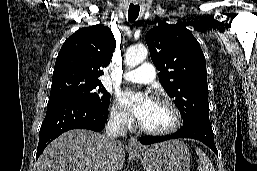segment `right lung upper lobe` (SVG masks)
<instances>
[{
	"label": "right lung upper lobe",
	"mask_w": 257,
	"mask_h": 171,
	"mask_svg": "<svg viewBox=\"0 0 257 171\" xmlns=\"http://www.w3.org/2000/svg\"><path fill=\"white\" fill-rule=\"evenodd\" d=\"M116 47L111 30L103 24L82 28L62 45L57 56L52 89L73 83L100 82Z\"/></svg>",
	"instance_id": "right-lung-upper-lobe-1"
}]
</instances>
